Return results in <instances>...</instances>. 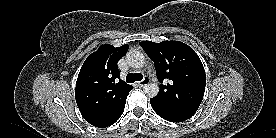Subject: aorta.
<instances>
[{
  "instance_id": "aorta-1",
  "label": "aorta",
  "mask_w": 276,
  "mask_h": 138,
  "mask_svg": "<svg viewBox=\"0 0 276 138\" xmlns=\"http://www.w3.org/2000/svg\"><path fill=\"white\" fill-rule=\"evenodd\" d=\"M127 63L133 68H142L145 65V56L137 50H130L126 54ZM147 96L153 98L159 93V86L156 83H149L145 86Z\"/></svg>"
}]
</instances>
